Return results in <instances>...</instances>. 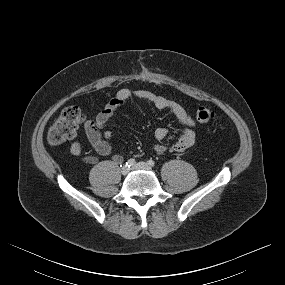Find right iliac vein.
I'll return each instance as SVG.
<instances>
[{
    "label": "right iliac vein",
    "instance_id": "right-iliac-vein-1",
    "mask_svg": "<svg viewBox=\"0 0 285 285\" xmlns=\"http://www.w3.org/2000/svg\"><path fill=\"white\" fill-rule=\"evenodd\" d=\"M130 169L127 167V166H123L122 169H121V173L123 175H127L129 173Z\"/></svg>",
    "mask_w": 285,
    "mask_h": 285
}]
</instances>
